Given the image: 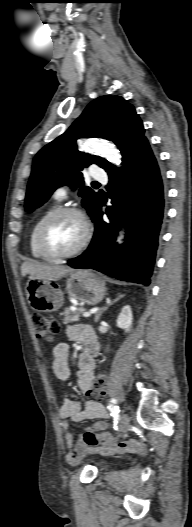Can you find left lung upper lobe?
Masks as SVG:
<instances>
[{
    "label": "left lung upper lobe",
    "instance_id": "1",
    "mask_svg": "<svg viewBox=\"0 0 192 527\" xmlns=\"http://www.w3.org/2000/svg\"><path fill=\"white\" fill-rule=\"evenodd\" d=\"M144 127L135 108L120 96H101L92 101L71 127L43 147L33 160L28 183L25 209L32 212L41 206L61 185L79 189L82 204L94 220L101 196L84 184V167L97 164L108 174L120 168L101 158L79 152L76 140L101 137L113 141L122 153L123 164L135 148L146 141Z\"/></svg>",
    "mask_w": 192,
    "mask_h": 527
}]
</instances>
